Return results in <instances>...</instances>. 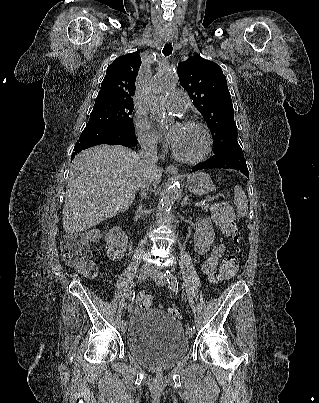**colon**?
I'll return each instance as SVG.
<instances>
[{"label": "colon", "instance_id": "1", "mask_svg": "<svg viewBox=\"0 0 319 403\" xmlns=\"http://www.w3.org/2000/svg\"><path fill=\"white\" fill-rule=\"evenodd\" d=\"M214 217L222 229L223 234L234 243H238V227L231 208L225 203H218L214 207ZM99 233L95 231H81L69 234L61 243L64 262L76 268L83 276L94 278L97 275V266L91 258L90 243L99 239ZM241 262V256L237 253L229 255L221 264L220 272L224 278L233 276ZM140 308H149L152 305V297L147 292H140L136 297ZM168 312L178 318L182 317L181 310L177 306L168 307Z\"/></svg>", "mask_w": 319, "mask_h": 403}]
</instances>
